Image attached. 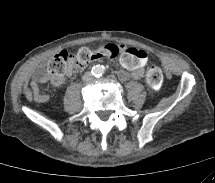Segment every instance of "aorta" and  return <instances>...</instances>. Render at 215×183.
<instances>
[{
  "instance_id": "762f6f07",
  "label": "aorta",
  "mask_w": 215,
  "mask_h": 183,
  "mask_svg": "<svg viewBox=\"0 0 215 183\" xmlns=\"http://www.w3.org/2000/svg\"><path fill=\"white\" fill-rule=\"evenodd\" d=\"M94 72H95L96 74H101V73L104 72V67H103L102 65H97V66H95V68H94Z\"/></svg>"
}]
</instances>
